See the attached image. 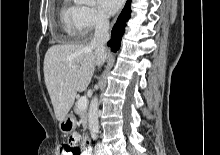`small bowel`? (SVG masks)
Wrapping results in <instances>:
<instances>
[{
	"label": "small bowel",
	"mask_w": 220,
	"mask_h": 155,
	"mask_svg": "<svg viewBox=\"0 0 220 155\" xmlns=\"http://www.w3.org/2000/svg\"><path fill=\"white\" fill-rule=\"evenodd\" d=\"M88 140H84V137L81 136V133H70L68 136L67 144H79V145H88ZM81 155H88L87 151H84Z\"/></svg>",
	"instance_id": "1"
}]
</instances>
